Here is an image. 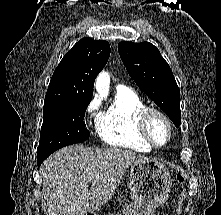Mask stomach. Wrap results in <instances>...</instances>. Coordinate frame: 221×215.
<instances>
[{"instance_id":"obj_1","label":"stomach","mask_w":221,"mask_h":215,"mask_svg":"<svg viewBox=\"0 0 221 215\" xmlns=\"http://www.w3.org/2000/svg\"><path fill=\"white\" fill-rule=\"evenodd\" d=\"M128 186L132 203L123 215H154L155 209L169 197L172 177L161 162L147 160L130 166Z\"/></svg>"}]
</instances>
